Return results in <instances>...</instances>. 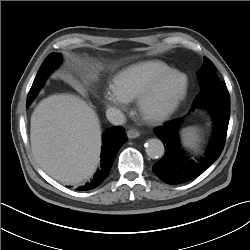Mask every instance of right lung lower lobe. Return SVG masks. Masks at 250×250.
I'll return each instance as SVG.
<instances>
[{"instance_id":"obj_1","label":"right lung lower lobe","mask_w":250,"mask_h":250,"mask_svg":"<svg viewBox=\"0 0 250 250\" xmlns=\"http://www.w3.org/2000/svg\"><path fill=\"white\" fill-rule=\"evenodd\" d=\"M103 145L101 153V164L91 181L78 187V191L91 190L99 186L109 175L110 169L120 147L127 141L126 134L122 127H110L103 133Z\"/></svg>"}]
</instances>
